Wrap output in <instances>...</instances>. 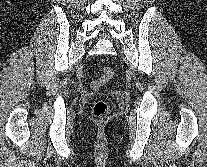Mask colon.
I'll return each instance as SVG.
<instances>
[{
	"mask_svg": "<svg viewBox=\"0 0 207 167\" xmlns=\"http://www.w3.org/2000/svg\"><path fill=\"white\" fill-rule=\"evenodd\" d=\"M113 77V70L109 67H105L101 70L99 76L94 78L91 82V86L94 89L100 88L107 81ZM109 113V104L105 101H97L93 105V114L98 119H103Z\"/></svg>",
	"mask_w": 207,
	"mask_h": 167,
	"instance_id": "obj_1",
	"label": "colon"
}]
</instances>
